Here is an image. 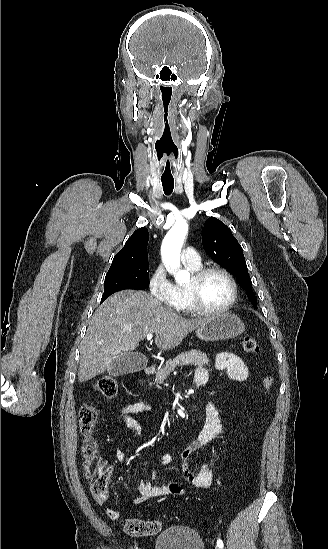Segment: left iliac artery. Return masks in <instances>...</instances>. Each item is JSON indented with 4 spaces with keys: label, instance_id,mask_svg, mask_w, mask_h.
<instances>
[{
    "label": "left iliac artery",
    "instance_id": "44dca946",
    "mask_svg": "<svg viewBox=\"0 0 328 549\" xmlns=\"http://www.w3.org/2000/svg\"><path fill=\"white\" fill-rule=\"evenodd\" d=\"M217 545L220 547V549L223 548V541L221 539L217 540Z\"/></svg>",
    "mask_w": 328,
    "mask_h": 549
}]
</instances>
